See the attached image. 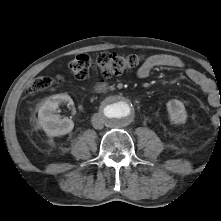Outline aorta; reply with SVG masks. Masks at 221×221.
<instances>
[{
  "label": "aorta",
  "instance_id": "1",
  "mask_svg": "<svg viewBox=\"0 0 221 221\" xmlns=\"http://www.w3.org/2000/svg\"><path fill=\"white\" fill-rule=\"evenodd\" d=\"M102 115L108 125L123 127L128 125L133 119L134 106L124 97H114L105 102Z\"/></svg>",
  "mask_w": 221,
  "mask_h": 221
}]
</instances>
